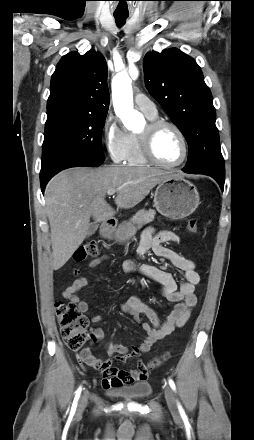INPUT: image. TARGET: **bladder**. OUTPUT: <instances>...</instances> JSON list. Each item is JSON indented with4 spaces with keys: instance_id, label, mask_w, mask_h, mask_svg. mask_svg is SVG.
<instances>
[{
    "instance_id": "31cf9c89",
    "label": "bladder",
    "mask_w": 254,
    "mask_h": 440,
    "mask_svg": "<svg viewBox=\"0 0 254 440\" xmlns=\"http://www.w3.org/2000/svg\"><path fill=\"white\" fill-rule=\"evenodd\" d=\"M152 391V387L148 382H140L138 384L113 390L110 392L112 396L128 401L141 400L147 398Z\"/></svg>"
}]
</instances>
